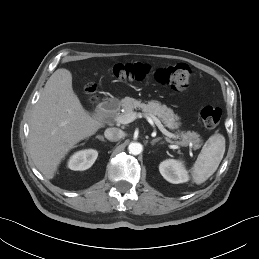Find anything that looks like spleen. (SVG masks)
Returning a JSON list of instances; mask_svg holds the SVG:
<instances>
[{
    "instance_id": "1",
    "label": "spleen",
    "mask_w": 259,
    "mask_h": 259,
    "mask_svg": "<svg viewBox=\"0 0 259 259\" xmlns=\"http://www.w3.org/2000/svg\"><path fill=\"white\" fill-rule=\"evenodd\" d=\"M225 153V138L214 134L205 142L197 160L192 167L194 183H204L217 170Z\"/></svg>"
}]
</instances>
